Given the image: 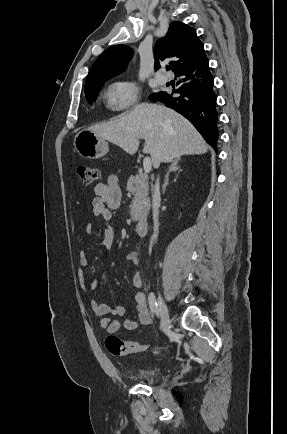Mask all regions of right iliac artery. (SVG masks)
I'll return each mask as SVG.
<instances>
[{
    "label": "right iliac artery",
    "mask_w": 287,
    "mask_h": 434,
    "mask_svg": "<svg viewBox=\"0 0 287 434\" xmlns=\"http://www.w3.org/2000/svg\"><path fill=\"white\" fill-rule=\"evenodd\" d=\"M148 302H149V307H150L152 313L158 317L159 316L158 304H157V301H156V298H155V295L153 292H151L149 294Z\"/></svg>",
    "instance_id": "obj_1"
}]
</instances>
